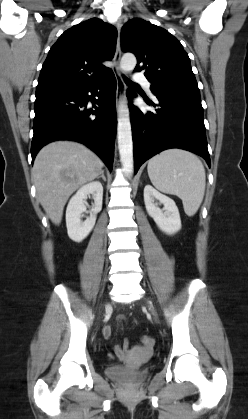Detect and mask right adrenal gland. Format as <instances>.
<instances>
[{"mask_svg":"<svg viewBox=\"0 0 248 419\" xmlns=\"http://www.w3.org/2000/svg\"><path fill=\"white\" fill-rule=\"evenodd\" d=\"M102 177L104 181H106V177L104 176V170L101 171L100 175L97 177L98 179Z\"/></svg>","mask_w":248,"mask_h":419,"instance_id":"1","label":"right adrenal gland"}]
</instances>
